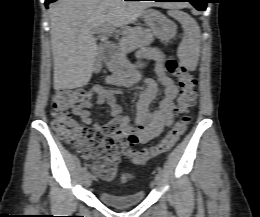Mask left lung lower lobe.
I'll use <instances>...</instances> for the list:
<instances>
[{"label": "left lung lower lobe", "mask_w": 260, "mask_h": 217, "mask_svg": "<svg viewBox=\"0 0 260 217\" xmlns=\"http://www.w3.org/2000/svg\"><path fill=\"white\" fill-rule=\"evenodd\" d=\"M156 2H190L197 10L204 11L206 9L207 0H153Z\"/></svg>", "instance_id": "1"}]
</instances>
